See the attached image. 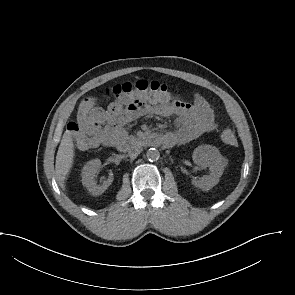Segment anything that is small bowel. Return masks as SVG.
Masks as SVG:
<instances>
[{"label": "small bowel", "instance_id": "c3829d8e", "mask_svg": "<svg viewBox=\"0 0 295 295\" xmlns=\"http://www.w3.org/2000/svg\"><path fill=\"white\" fill-rule=\"evenodd\" d=\"M142 116L175 117L176 129L163 135L167 145L190 142L217 127L214 110L202 96L188 103L165 91L124 94L107 109H94L82 128L69 123L68 131L80 150L112 146L125 138L124 126Z\"/></svg>", "mask_w": 295, "mask_h": 295}]
</instances>
